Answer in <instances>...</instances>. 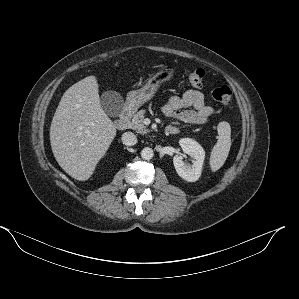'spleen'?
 <instances>
[{"label": "spleen", "mask_w": 299, "mask_h": 299, "mask_svg": "<svg viewBox=\"0 0 299 299\" xmlns=\"http://www.w3.org/2000/svg\"><path fill=\"white\" fill-rule=\"evenodd\" d=\"M217 131L218 141L213 147L209 159L210 168L213 172L224 165L231 147L230 124L226 121L220 122L217 126Z\"/></svg>", "instance_id": "spleen-1"}]
</instances>
